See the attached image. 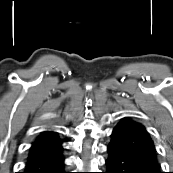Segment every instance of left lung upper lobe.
Returning <instances> with one entry per match:
<instances>
[{"instance_id":"1","label":"left lung upper lobe","mask_w":173,"mask_h":173,"mask_svg":"<svg viewBox=\"0 0 173 173\" xmlns=\"http://www.w3.org/2000/svg\"><path fill=\"white\" fill-rule=\"evenodd\" d=\"M111 142L156 156L154 143L144 126L128 118L122 119L113 129Z\"/></svg>"}]
</instances>
